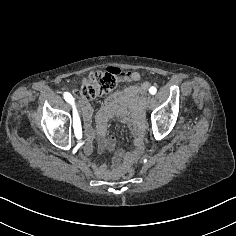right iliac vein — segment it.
I'll list each match as a JSON object with an SVG mask.
<instances>
[{
	"label": "right iliac vein",
	"mask_w": 236,
	"mask_h": 236,
	"mask_svg": "<svg viewBox=\"0 0 236 236\" xmlns=\"http://www.w3.org/2000/svg\"><path fill=\"white\" fill-rule=\"evenodd\" d=\"M77 112L80 114L81 113V106L79 105L78 102H75Z\"/></svg>",
	"instance_id": "1"
}]
</instances>
